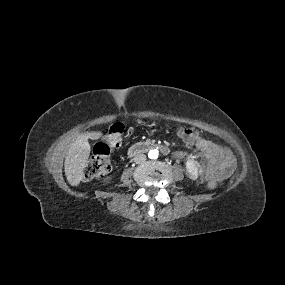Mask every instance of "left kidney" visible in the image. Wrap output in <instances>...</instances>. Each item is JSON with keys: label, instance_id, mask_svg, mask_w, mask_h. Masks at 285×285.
Returning <instances> with one entry per match:
<instances>
[{"label": "left kidney", "instance_id": "1", "mask_svg": "<svg viewBox=\"0 0 285 285\" xmlns=\"http://www.w3.org/2000/svg\"><path fill=\"white\" fill-rule=\"evenodd\" d=\"M186 171L188 175L192 178L198 177V167L195 162L193 161H187L186 163Z\"/></svg>", "mask_w": 285, "mask_h": 285}]
</instances>
